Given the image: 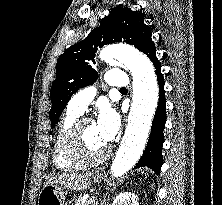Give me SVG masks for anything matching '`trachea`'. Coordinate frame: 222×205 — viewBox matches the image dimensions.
Listing matches in <instances>:
<instances>
[{
	"label": "trachea",
	"mask_w": 222,
	"mask_h": 205,
	"mask_svg": "<svg viewBox=\"0 0 222 205\" xmlns=\"http://www.w3.org/2000/svg\"><path fill=\"white\" fill-rule=\"evenodd\" d=\"M120 90H127L126 88H121Z\"/></svg>",
	"instance_id": "3493384b"
}]
</instances>
